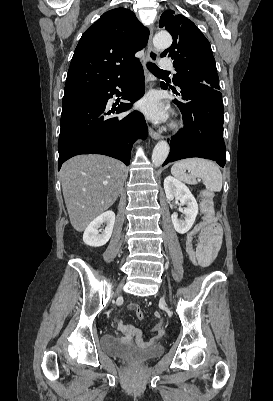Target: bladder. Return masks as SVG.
I'll return each mask as SVG.
<instances>
[{
  "label": "bladder",
  "instance_id": "31cf9c89",
  "mask_svg": "<svg viewBox=\"0 0 273 401\" xmlns=\"http://www.w3.org/2000/svg\"><path fill=\"white\" fill-rule=\"evenodd\" d=\"M101 347L106 354L132 364L144 363L160 356L163 352V349L160 346H153L142 350H133L122 340L112 335H105L102 338Z\"/></svg>",
  "mask_w": 273,
  "mask_h": 401
}]
</instances>
